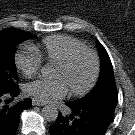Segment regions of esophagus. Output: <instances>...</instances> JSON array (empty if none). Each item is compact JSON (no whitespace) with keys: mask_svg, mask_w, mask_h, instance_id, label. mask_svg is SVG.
Listing matches in <instances>:
<instances>
[{"mask_svg":"<svg viewBox=\"0 0 135 135\" xmlns=\"http://www.w3.org/2000/svg\"><path fill=\"white\" fill-rule=\"evenodd\" d=\"M32 105L33 106H43V105H45V103L40 101V100H38V99H36V98H33L32 99Z\"/></svg>","mask_w":135,"mask_h":135,"instance_id":"1","label":"esophagus"}]
</instances>
